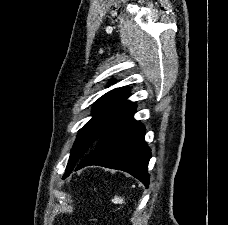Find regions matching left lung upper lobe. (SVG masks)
I'll return each mask as SVG.
<instances>
[{"label": "left lung upper lobe", "mask_w": 228, "mask_h": 225, "mask_svg": "<svg viewBox=\"0 0 228 225\" xmlns=\"http://www.w3.org/2000/svg\"><path fill=\"white\" fill-rule=\"evenodd\" d=\"M129 95L128 87H121L109 91L94 103L93 118L79 131L63 179L91 153L98 139L108 128L136 108L135 103L127 100Z\"/></svg>", "instance_id": "5c2ea615"}]
</instances>
